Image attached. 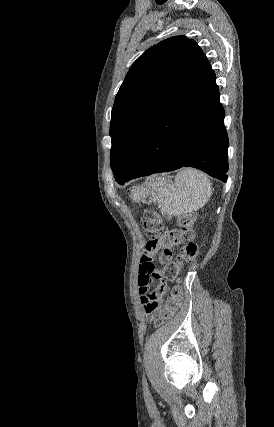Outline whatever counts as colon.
Masks as SVG:
<instances>
[{"instance_id":"colon-1","label":"colon","mask_w":274,"mask_h":427,"mask_svg":"<svg viewBox=\"0 0 274 427\" xmlns=\"http://www.w3.org/2000/svg\"><path fill=\"white\" fill-rule=\"evenodd\" d=\"M180 223L173 229H167L163 226L156 210L149 209L144 213L143 232L144 236H160L163 248H175L181 245L179 254L184 263L196 259L199 255V248L195 240L194 232L188 228L189 219L180 218ZM142 286V285H141ZM183 288L176 280L175 286L169 294L171 305L160 306L157 311H151V317L155 321V329L163 330L165 322L162 318H172L174 315L173 306L178 305L183 298Z\"/></svg>"}]
</instances>
